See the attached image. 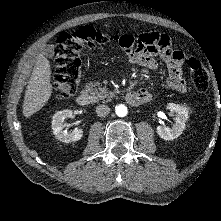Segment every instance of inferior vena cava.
<instances>
[{"label":"inferior vena cava","instance_id":"1","mask_svg":"<svg viewBox=\"0 0 221 221\" xmlns=\"http://www.w3.org/2000/svg\"><path fill=\"white\" fill-rule=\"evenodd\" d=\"M96 113L99 117H106L110 113V108L107 105H99L96 107Z\"/></svg>","mask_w":221,"mask_h":221}]
</instances>
